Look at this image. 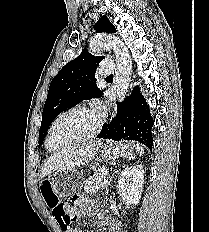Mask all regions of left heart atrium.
<instances>
[{"mask_svg":"<svg viewBox=\"0 0 209 232\" xmlns=\"http://www.w3.org/2000/svg\"><path fill=\"white\" fill-rule=\"evenodd\" d=\"M95 110H96V112H97L98 114L101 115V114L103 113V111H104V106H103V104L100 103V102L96 103V105H95Z\"/></svg>","mask_w":209,"mask_h":232,"instance_id":"obj_1","label":"left heart atrium"}]
</instances>
